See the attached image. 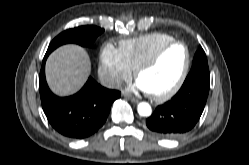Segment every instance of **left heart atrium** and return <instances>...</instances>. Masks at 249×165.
<instances>
[{
	"instance_id": "obj_1",
	"label": "left heart atrium",
	"mask_w": 249,
	"mask_h": 165,
	"mask_svg": "<svg viewBox=\"0 0 249 165\" xmlns=\"http://www.w3.org/2000/svg\"><path fill=\"white\" fill-rule=\"evenodd\" d=\"M133 89L137 90V91H141V92H148L146 90V88L144 87V85L139 82L138 80L133 84Z\"/></svg>"
}]
</instances>
